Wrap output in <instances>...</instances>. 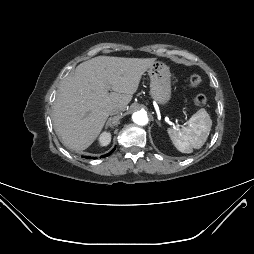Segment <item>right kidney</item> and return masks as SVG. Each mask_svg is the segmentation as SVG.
<instances>
[{"label": "right kidney", "mask_w": 254, "mask_h": 254, "mask_svg": "<svg viewBox=\"0 0 254 254\" xmlns=\"http://www.w3.org/2000/svg\"><path fill=\"white\" fill-rule=\"evenodd\" d=\"M111 142V134L109 132H103L99 137L100 146H107Z\"/></svg>", "instance_id": "ca27d5eb"}]
</instances>
